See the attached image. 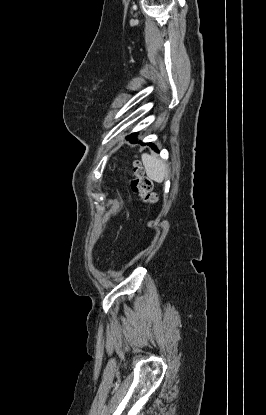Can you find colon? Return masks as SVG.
Masks as SVG:
<instances>
[{"label": "colon", "instance_id": "5ec220e1", "mask_svg": "<svg viewBox=\"0 0 266 415\" xmlns=\"http://www.w3.org/2000/svg\"><path fill=\"white\" fill-rule=\"evenodd\" d=\"M132 173L131 187L133 191L139 195L144 203H155L157 198L153 192V184L144 176L142 167L137 162L133 165Z\"/></svg>", "mask_w": 266, "mask_h": 415}]
</instances>
